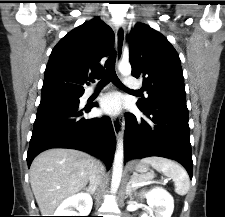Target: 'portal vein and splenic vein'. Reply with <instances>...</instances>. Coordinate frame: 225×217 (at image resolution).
<instances>
[{
  "mask_svg": "<svg viewBox=\"0 0 225 217\" xmlns=\"http://www.w3.org/2000/svg\"><path fill=\"white\" fill-rule=\"evenodd\" d=\"M153 178V175L151 176V179ZM151 183V181H147V182H142V183H132V187H135V186H143L145 184H149Z\"/></svg>",
  "mask_w": 225,
  "mask_h": 217,
  "instance_id": "obj_1",
  "label": "portal vein and splenic vein"
}]
</instances>
